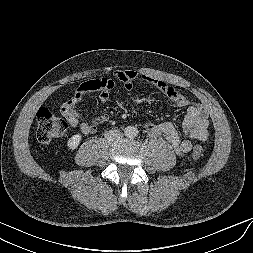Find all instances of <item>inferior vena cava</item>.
Wrapping results in <instances>:
<instances>
[{"label":"inferior vena cava","mask_w":253,"mask_h":253,"mask_svg":"<svg viewBox=\"0 0 253 253\" xmlns=\"http://www.w3.org/2000/svg\"><path fill=\"white\" fill-rule=\"evenodd\" d=\"M122 135L123 134L118 129H112L105 132V138L109 141L118 140Z\"/></svg>","instance_id":"1"}]
</instances>
